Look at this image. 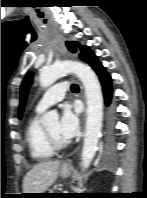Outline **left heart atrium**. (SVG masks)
Wrapping results in <instances>:
<instances>
[{"mask_svg": "<svg viewBox=\"0 0 147 198\" xmlns=\"http://www.w3.org/2000/svg\"><path fill=\"white\" fill-rule=\"evenodd\" d=\"M78 125L76 114L69 107H65L58 123V135L61 140L67 142L72 139L77 133Z\"/></svg>", "mask_w": 147, "mask_h": 198, "instance_id": "left-heart-atrium-1", "label": "left heart atrium"}]
</instances>
